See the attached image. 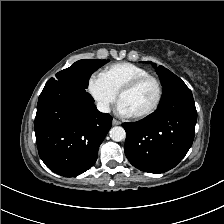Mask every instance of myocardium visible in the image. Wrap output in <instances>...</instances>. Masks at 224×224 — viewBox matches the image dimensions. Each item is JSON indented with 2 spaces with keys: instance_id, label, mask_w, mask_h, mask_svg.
Here are the masks:
<instances>
[{
  "instance_id": "obj_1",
  "label": "myocardium",
  "mask_w": 224,
  "mask_h": 224,
  "mask_svg": "<svg viewBox=\"0 0 224 224\" xmlns=\"http://www.w3.org/2000/svg\"><path fill=\"white\" fill-rule=\"evenodd\" d=\"M146 80H152L155 82V84L157 86V97H156L155 102L149 109H147L146 111H144L142 113H139L136 115H131V117L136 120L144 119V118L152 115L160 106V103H161L162 97H163V86H162L161 81L157 77L150 75V74L138 76V77L131 79L126 84H124L117 93L118 101H120V98L122 97L123 94L133 90L140 83H142Z\"/></svg>"
}]
</instances>
